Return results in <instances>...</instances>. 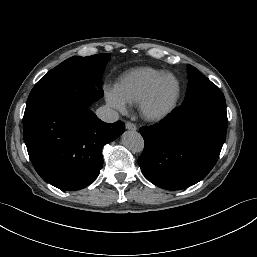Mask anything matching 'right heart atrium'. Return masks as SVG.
<instances>
[{
	"label": "right heart atrium",
	"instance_id": "1",
	"mask_svg": "<svg viewBox=\"0 0 257 257\" xmlns=\"http://www.w3.org/2000/svg\"><path fill=\"white\" fill-rule=\"evenodd\" d=\"M106 101L108 105L118 112H125L126 102L116 93L115 90H108L106 92Z\"/></svg>",
	"mask_w": 257,
	"mask_h": 257
}]
</instances>
